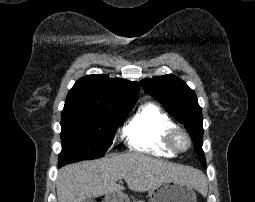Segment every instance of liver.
<instances>
[{"label": "liver", "instance_id": "obj_1", "mask_svg": "<svg viewBox=\"0 0 255 202\" xmlns=\"http://www.w3.org/2000/svg\"><path fill=\"white\" fill-rule=\"evenodd\" d=\"M124 179L129 189L144 192L164 182L179 181L201 190L204 177L196 169L161 161L141 153L112 155L94 161H85L63 167L56 183L58 202H82L114 192L123 187L117 181Z\"/></svg>", "mask_w": 255, "mask_h": 202}]
</instances>
